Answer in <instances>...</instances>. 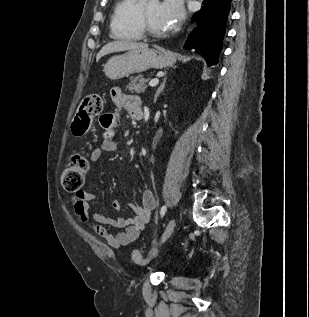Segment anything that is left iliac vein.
I'll return each instance as SVG.
<instances>
[{
  "label": "left iliac vein",
  "mask_w": 309,
  "mask_h": 317,
  "mask_svg": "<svg viewBox=\"0 0 309 317\" xmlns=\"http://www.w3.org/2000/svg\"><path fill=\"white\" fill-rule=\"evenodd\" d=\"M175 226H176V220L173 218L168 222L164 230V233L161 237L160 244L164 243L171 236V234L173 233L175 229Z\"/></svg>",
  "instance_id": "1"
}]
</instances>
